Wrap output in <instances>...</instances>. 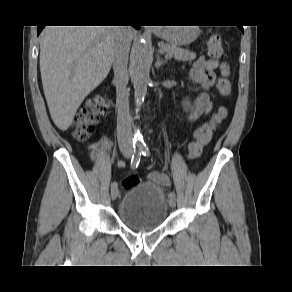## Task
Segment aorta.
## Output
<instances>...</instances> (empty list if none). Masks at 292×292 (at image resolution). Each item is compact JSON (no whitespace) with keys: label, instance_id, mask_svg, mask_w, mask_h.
Instances as JSON below:
<instances>
[{"label":"aorta","instance_id":"762f6f07","mask_svg":"<svg viewBox=\"0 0 292 292\" xmlns=\"http://www.w3.org/2000/svg\"><path fill=\"white\" fill-rule=\"evenodd\" d=\"M150 58L148 44L139 39L132 51V70L134 78V99L136 111L140 110L147 94V86L150 81ZM138 142V140H137Z\"/></svg>","mask_w":292,"mask_h":292}]
</instances>
